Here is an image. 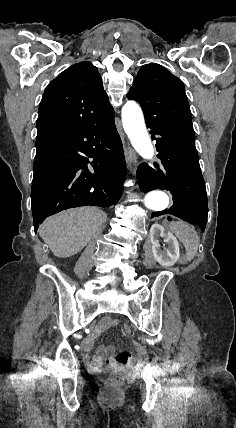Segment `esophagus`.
Instances as JSON below:
<instances>
[{
  "instance_id": "1",
  "label": "esophagus",
  "mask_w": 236,
  "mask_h": 428,
  "mask_svg": "<svg viewBox=\"0 0 236 428\" xmlns=\"http://www.w3.org/2000/svg\"><path fill=\"white\" fill-rule=\"evenodd\" d=\"M128 160H129V162H130V167H131V169H132V162L134 161V156H133V152H132V150L131 149H129V157H128ZM132 173H135V170L134 169H132Z\"/></svg>"
}]
</instances>
